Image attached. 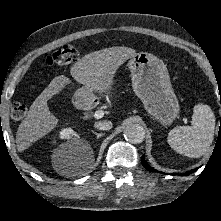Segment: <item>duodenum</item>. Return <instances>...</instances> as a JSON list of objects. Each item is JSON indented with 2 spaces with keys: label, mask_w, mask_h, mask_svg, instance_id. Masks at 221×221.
<instances>
[{
  "label": "duodenum",
  "mask_w": 221,
  "mask_h": 221,
  "mask_svg": "<svg viewBox=\"0 0 221 221\" xmlns=\"http://www.w3.org/2000/svg\"><path fill=\"white\" fill-rule=\"evenodd\" d=\"M79 105L84 109V110H88L89 109V102L87 101V99H83Z\"/></svg>",
  "instance_id": "1"
}]
</instances>
